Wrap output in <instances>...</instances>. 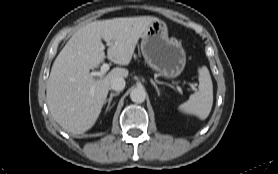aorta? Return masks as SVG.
I'll return each instance as SVG.
<instances>
[{
  "label": "aorta",
  "instance_id": "762f6f07",
  "mask_svg": "<svg viewBox=\"0 0 278 174\" xmlns=\"http://www.w3.org/2000/svg\"><path fill=\"white\" fill-rule=\"evenodd\" d=\"M130 98L135 103H142L146 99V91L141 87H136L132 89L130 93Z\"/></svg>",
  "mask_w": 278,
  "mask_h": 174
}]
</instances>
